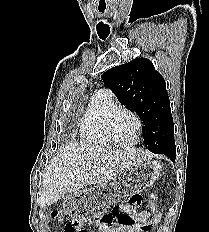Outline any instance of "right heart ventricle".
Instances as JSON below:
<instances>
[{"mask_svg":"<svg viewBox=\"0 0 209 232\" xmlns=\"http://www.w3.org/2000/svg\"><path fill=\"white\" fill-rule=\"evenodd\" d=\"M119 108L112 94L107 90H99L90 99L80 119V135L93 146L107 147L112 143L106 136L105 124L108 115Z\"/></svg>","mask_w":209,"mask_h":232,"instance_id":"obj_1","label":"right heart ventricle"}]
</instances>
